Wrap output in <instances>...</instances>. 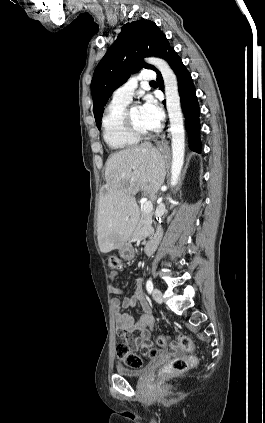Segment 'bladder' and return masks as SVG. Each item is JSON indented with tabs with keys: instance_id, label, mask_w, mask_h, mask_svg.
<instances>
[{
	"instance_id": "31cf9c89",
	"label": "bladder",
	"mask_w": 265,
	"mask_h": 423,
	"mask_svg": "<svg viewBox=\"0 0 265 423\" xmlns=\"http://www.w3.org/2000/svg\"><path fill=\"white\" fill-rule=\"evenodd\" d=\"M146 369H147L146 367L136 368V369L125 368L122 366L116 367L117 373L125 377H141L146 372Z\"/></svg>"
}]
</instances>
